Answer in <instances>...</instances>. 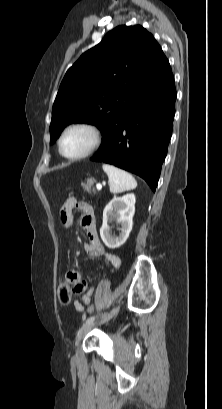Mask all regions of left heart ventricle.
I'll return each mask as SVG.
<instances>
[{
    "label": "left heart ventricle",
    "mask_w": 222,
    "mask_h": 409,
    "mask_svg": "<svg viewBox=\"0 0 222 409\" xmlns=\"http://www.w3.org/2000/svg\"><path fill=\"white\" fill-rule=\"evenodd\" d=\"M92 134L86 129H74L63 139L62 149L66 155L74 156L86 151L92 143Z\"/></svg>",
    "instance_id": "left-heart-ventricle-1"
}]
</instances>
